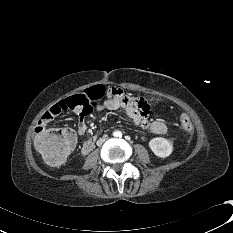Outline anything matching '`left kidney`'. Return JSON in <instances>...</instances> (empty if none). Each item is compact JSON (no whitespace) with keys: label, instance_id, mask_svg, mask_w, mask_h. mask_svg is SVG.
<instances>
[{"label":"left kidney","instance_id":"left-kidney-1","mask_svg":"<svg viewBox=\"0 0 233 233\" xmlns=\"http://www.w3.org/2000/svg\"><path fill=\"white\" fill-rule=\"evenodd\" d=\"M149 147L151 151L160 158H166L170 156L173 151V144L166 138L156 137L149 141Z\"/></svg>","mask_w":233,"mask_h":233}]
</instances>
